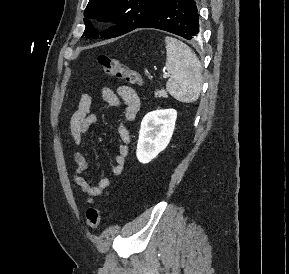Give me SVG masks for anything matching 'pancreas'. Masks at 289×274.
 <instances>
[{"mask_svg": "<svg viewBox=\"0 0 289 274\" xmlns=\"http://www.w3.org/2000/svg\"><path fill=\"white\" fill-rule=\"evenodd\" d=\"M156 97H167V93L164 90L156 91L155 92Z\"/></svg>", "mask_w": 289, "mask_h": 274, "instance_id": "pancreas-1", "label": "pancreas"}]
</instances>
